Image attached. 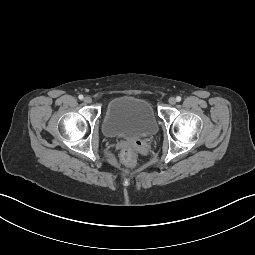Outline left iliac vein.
I'll list each match as a JSON object with an SVG mask.
<instances>
[{
	"label": "left iliac vein",
	"instance_id": "left-iliac-vein-1",
	"mask_svg": "<svg viewBox=\"0 0 255 255\" xmlns=\"http://www.w3.org/2000/svg\"><path fill=\"white\" fill-rule=\"evenodd\" d=\"M168 101L172 105H174L176 103V99L174 97H170Z\"/></svg>",
	"mask_w": 255,
	"mask_h": 255
}]
</instances>
